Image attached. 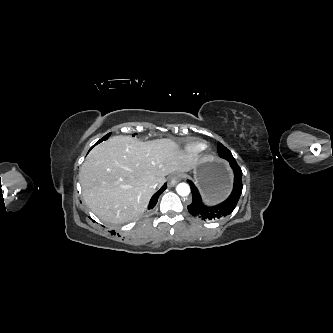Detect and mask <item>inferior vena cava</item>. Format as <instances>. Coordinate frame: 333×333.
I'll use <instances>...</instances> for the list:
<instances>
[{"label": "inferior vena cava", "mask_w": 333, "mask_h": 333, "mask_svg": "<svg viewBox=\"0 0 333 333\" xmlns=\"http://www.w3.org/2000/svg\"><path fill=\"white\" fill-rule=\"evenodd\" d=\"M158 186V183H155L153 186H152V188H156Z\"/></svg>", "instance_id": "602c4592"}]
</instances>
